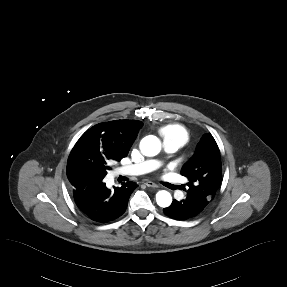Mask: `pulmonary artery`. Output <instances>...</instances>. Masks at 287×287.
Masks as SVG:
<instances>
[{
	"label": "pulmonary artery",
	"instance_id": "pulmonary-artery-1",
	"mask_svg": "<svg viewBox=\"0 0 287 287\" xmlns=\"http://www.w3.org/2000/svg\"><path fill=\"white\" fill-rule=\"evenodd\" d=\"M164 150L167 153H174L179 149V145L172 141L163 142ZM160 165L158 160H147L138 164L124 166L118 169L120 175H141L155 170Z\"/></svg>",
	"mask_w": 287,
	"mask_h": 287
}]
</instances>
